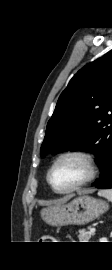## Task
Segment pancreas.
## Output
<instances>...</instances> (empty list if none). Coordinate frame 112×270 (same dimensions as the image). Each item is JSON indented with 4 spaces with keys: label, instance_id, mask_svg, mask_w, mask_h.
I'll return each mask as SVG.
<instances>
[{
    "label": "pancreas",
    "instance_id": "obj_1",
    "mask_svg": "<svg viewBox=\"0 0 112 270\" xmlns=\"http://www.w3.org/2000/svg\"><path fill=\"white\" fill-rule=\"evenodd\" d=\"M91 236H92V233L85 229H81L78 231V238L80 242H89V239L91 238Z\"/></svg>",
    "mask_w": 112,
    "mask_h": 270
}]
</instances>
